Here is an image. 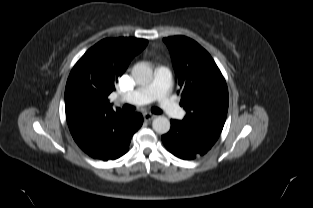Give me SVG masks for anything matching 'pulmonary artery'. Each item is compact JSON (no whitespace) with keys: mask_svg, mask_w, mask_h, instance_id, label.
I'll list each match as a JSON object with an SVG mask.
<instances>
[{"mask_svg":"<svg viewBox=\"0 0 313 208\" xmlns=\"http://www.w3.org/2000/svg\"><path fill=\"white\" fill-rule=\"evenodd\" d=\"M172 74L168 67L159 66L155 69L153 81L140 87L124 97V100L134 105H143L157 100L159 106L171 118H181L182 108L170 97Z\"/></svg>","mask_w":313,"mask_h":208,"instance_id":"e3ab8cb5","label":"pulmonary artery"}]
</instances>
